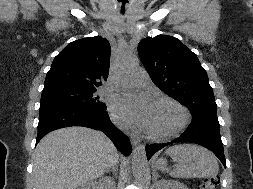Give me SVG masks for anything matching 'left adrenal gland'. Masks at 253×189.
<instances>
[{
    "instance_id": "left-adrenal-gland-1",
    "label": "left adrenal gland",
    "mask_w": 253,
    "mask_h": 189,
    "mask_svg": "<svg viewBox=\"0 0 253 189\" xmlns=\"http://www.w3.org/2000/svg\"><path fill=\"white\" fill-rule=\"evenodd\" d=\"M154 178H156V177H158L159 175H158V173L156 172V170L154 171Z\"/></svg>"
}]
</instances>
